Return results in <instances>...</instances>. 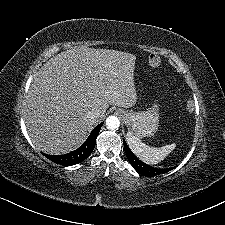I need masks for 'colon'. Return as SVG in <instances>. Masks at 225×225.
I'll list each match as a JSON object with an SVG mask.
<instances>
[{
    "label": "colon",
    "mask_w": 225,
    "mask_h": 225,
    "mask_svg": "<svg viewBox=\"0 0 225 225\" xmlns=\"http://www.w3.org/2000/svg\"><path fill=\"white\" fill-rule=\"evenodd\" d=\"M148 62L150 66L157 67L160 65L161 60L156 56H150Z\"/></svg>",
    "instance_id": "1"
}]
</instances>
